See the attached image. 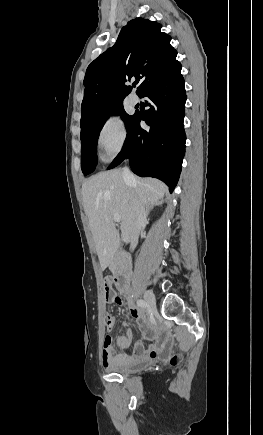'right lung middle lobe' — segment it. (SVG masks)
Masks as SVG:
<instances>
[{"instance_id":"obj_1","label":"right lung middle lobe","mask_w":263,"mask_h":435,"mask_svg":"<svg viewBox=\"0 0 263 435\" xmlns=\"http://www.w3.org/2000/svg\"><path fill=\"white\" fill-rule=\"evenodd\" d=\"M119 115L126 123V128L130 127L133 122L134 115L129 116L125 113L123 109L122 103L117 104L107 111H105L96 121L92 124L81 128V144H82V152H81V169L84 175H87L94 171L95 166L97 164V140L99 137L100 130L102 129L106 119L110 115Z\"/></svg>"}]
</instances>
